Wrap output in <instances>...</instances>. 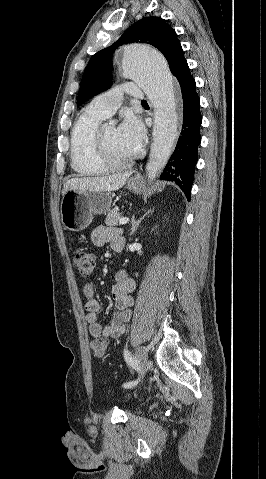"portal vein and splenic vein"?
Here are the masks:
<instances>
[{"label": "portal vein and splenic vein", "instance_id": "18ae733b", "mask_svg": "<svg viewBox=\"0 0 266 479\" xmlns=\"http://www.w3.org/2000/svg\"><path fill=\"white\" fill-rule=\"evenodd\" d=\"M128 221H129V218H121V219L119 220V224H120V225H123V224L128 223Z\"/></svg>", "mask_w": 266, "mask_h": 479}]
</instances>
